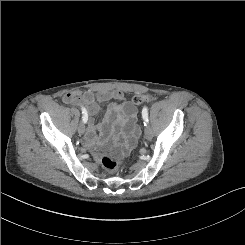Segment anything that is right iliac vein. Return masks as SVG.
<instances>
[{"label": "right iliac vein", "mask_w": 245, "mask_h": 245, "mask_svg": "<svg viewBox=\"0 0 245 245\" xmlns=\"http://www.w3.org/2000/svg\"><path fill=\"white\" fill-rule=\"evenodd\" d=\"M85 131V125H84V122H81L78 126V133L81 135L83 134Z\"/></svg>", "instance_id": "right-iliac-vein-1"}]
</instances>
